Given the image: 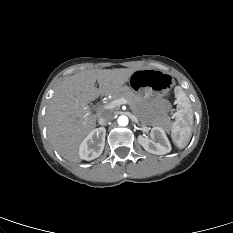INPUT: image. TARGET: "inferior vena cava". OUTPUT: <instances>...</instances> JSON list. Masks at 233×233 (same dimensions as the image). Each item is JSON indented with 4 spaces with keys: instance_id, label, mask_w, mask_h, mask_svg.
<instances>
[{
    "instance_id": "inferior-vena-cava-1",
    "label": "inferior vena cava",
    "mask_w": 233,
    "mask_h": 233,
    "mask_svg": "<svg viewBox=\"0 0 233 233\" xmlns=\"http://www.w3.org/2000/svg\"><path fill=\"white\" fill-rule=\"evenodd\" d=\"M114 115L112 112L106 111L101 114V116L98 119V123L100 125H106L113 119Z\"/></svg>"
}]
</instances>
